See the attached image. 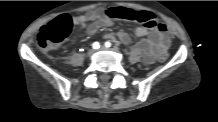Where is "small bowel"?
<instances>
[{
  "label": "small bowel",
  "mask_w": 218,
  "mask_h": 122,
  "mask_svg": "<svg viewBox=\"0 0 218 122\" xmlns=\"http://www.w3.org/2000/svg\"><path fill=\"white\" fill-rule=\"evenodd\" d=\"M107 10L95 9L74 16L72 18V23L77 28L86 27L87 33L89 35H94L102 27L112 25L113 18L107 14ZM135 34L138 37H141V39L134 45V49L142 53L143 60L147 64L156 62V55L164 54L171 44L170 35L164 25L161 28L138 26L135 28ZM105 37L110 40L120 41L126 45L131 44L132 42L129 34L124 31H120L116 34L108 33Z\"/></svg>",
  "instance_id": "1"
}]
</instances>
